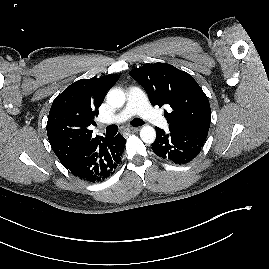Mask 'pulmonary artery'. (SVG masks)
Instances as JSON below:
<instances>
[{
    "label": "pulmonary artery",
    "instance_id": "1",
    "mask_svg": "<svg viewBox=\"0 0 269 269\" xmlns=\"http://www.w3.org/2000/svg\"><path fill=\"white\" fill-rule=\"evenodd\" d=\"M140 115L147 121L161 127H167L164 117L148 103L146 95L138 87H130L127 91V104L112 120V123L126 121L134 115Z\"/></svg>",
    "mask_w": 269,
    "mask_h": 269
}]
</instances>
